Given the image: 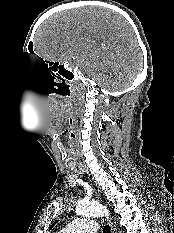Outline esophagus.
<instances>
[{"mask_svg": "<svg viewBox=\"0 0 174 233\" xmlns=\"http://www.w3.org/2000/svg\"><path fill=\"white\" fill-rule=\"evenodd\" d=\"M108 223H109V226H110L111 233H115V229L113 227L112 222L108 220Z\"/></svg>", "mask_w": 174, "mask_h": 233, "instance_id": "1", "label": "esophagus"}]
</instances>
